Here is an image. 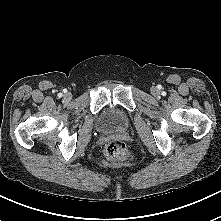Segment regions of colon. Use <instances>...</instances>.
I'll use <instances>...</instances> for the list:
<instances>
[{
  "instance_id": "1",
  "label": "colon",
  "mask_w": 221,
  "mask_h": 221,
  "mask_svg": "<svg viewBox=\"0 0 221 221\" xmlns=\"http://www.w3.org/2000/svg\"><path fill=\"white\" fill-rule=\"evenodd\" d=\"M106 155L108 158L116 161H129L131 152L122 141H112L106 146Z\"/></svg>"
}]
</instances>
